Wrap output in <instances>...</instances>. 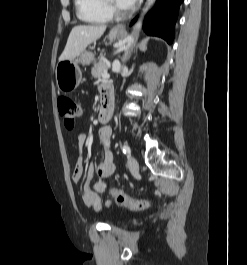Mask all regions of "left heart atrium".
I'll return each instance as SVG.
<instances>
[{
  "label": "left heart atrium",
  "instance_id": "obj_1",
  "mask_svg": "<svg viewBox=\"0 0 247 265\" xmlns=\"http://www.w3.org/2000/svg\"><path fill=\"white\" fill-rule=\"evenodd\" d=\"M116 2L120 8L128 9L131 8L137 0H116Z\"/></svg>",
  "mask_w": 247,
  "mask_h": 265
}]
</instances>
